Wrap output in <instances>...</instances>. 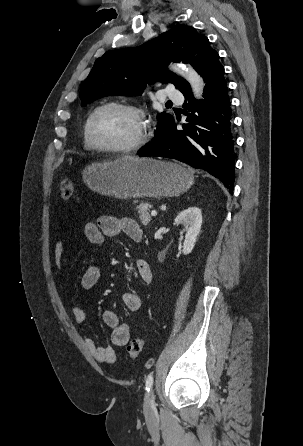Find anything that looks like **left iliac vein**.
Wrapping results in <instances>:
<instances>
[{
    "instance_id": "4c4485c4",
    "label": "left iliac vein",
    "mask_w": 303,
    "mask_h": 446,
    "mask_svg": "<svg viewBox=\"0 0 303 446\" xmlns=\"http://www.w3.org/2000/svg\"><path fill=\"white\" fill-rule=\"evenodd\" d=\"M155 409L154 393L150 390L146 393L144 399V410L146 413H151Z\"/></svg>"
}]
</instances>
